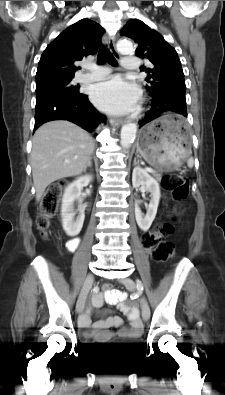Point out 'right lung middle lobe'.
<instances>
[{
  "label": "right lung middle lobe",
  "instance_id": "right-lung-middle-lobe-1",
  "mask_svg": "<svg viewBox=\"0 0 225 395\" xmlns=\"http://www.w3.org/2000/svg\"><path fill=\"white\" fill-rule=\"evenodd\" d=\"M71 81L68 79L36 86V106L59 95H80L79 86L73 85Z\"/></svg>",
  "mask_w": 225,
  "mask_h": 395
}]
</instances>
